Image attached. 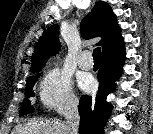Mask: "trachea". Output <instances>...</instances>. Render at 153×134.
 Listing matches in <instances>:
<instances>
[{"mask_svg": "<svg viewBox=\"0 0 153 134\" xmlns=\"http://www.w3.org/2000/svg\"><path fill=\"white\" fill-rule=\"evenodd\" d=\"M93 60L94 61L101 60V49L99 47L95 48L93 51Z\"/></svg>", "mask_w": 153, "mask_h": 134, "instance_id": "1", "label": "trachea"}]
</instances>
